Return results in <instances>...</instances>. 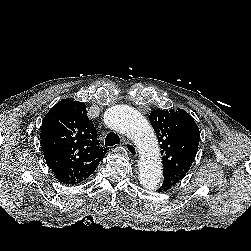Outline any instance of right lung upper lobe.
<instances>
[{
    "instance_id": "cb5924a9",
    "label": "right lung upper lobe",
    "mask_w": 251,
    "mask_h": 251,
    "mask_svg": "<svg viewBox=\"0 0 251 251\" xmlns=\"http://www.w3.org/2000/svg\"><path fill=\"white\" fill-rule=\"evenodd\" d=\"M41 146L48 167L63 184L83 182L106 154L82 102L64 99L42 121Z\"/></svg>"
}]
</instances>
